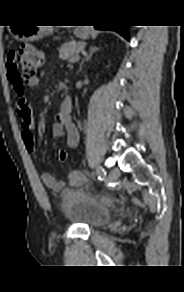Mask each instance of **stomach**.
Here are the masks:
<instances>
[{
    "mask_svg": "<svg viewBox=\"0 0 184 292\" xmlns=\"http://www.w3.org/2000/svg\"><path fill=\"white\" fill-rule=\"evenodd\" d=\"M14 33L15 37L20 40L33 41L43 37L47 33V29L42 26H29ZM75 34L81 39H86L89 33L87 29H77Z\"/></svg>",
    "mask_w": 184,
    "mask_h": 292,
    "instance_id": "stomach-1",
    "label": "stomach"
}]
</instances>
